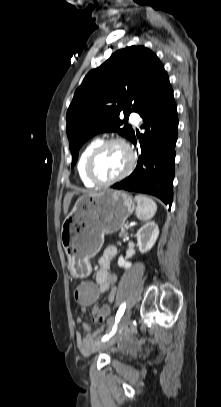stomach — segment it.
I'll return each instance as SVG.
<instances>
[{
  "instance_id": "obj_1",
  "label": "stomach",
  "mask_w": 221,
  "mask_h": 407,
  "mask_svg": "<svg viewBox=\"0 0 221 407\" xmlns=\"http://www.w3.org/2000/svg\"><path fill=\"white\" fill-rule=\"evenodd\" d=\"M132 197L119 190L81 196L62 224L61 241L76 277L89 271V260L104 243V236L121 229L134 211Z\"/></svg>"
}]
</instances>
